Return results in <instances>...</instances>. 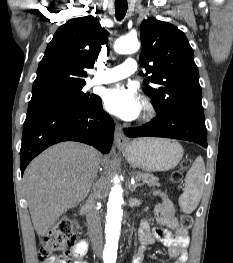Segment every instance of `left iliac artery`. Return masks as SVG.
I'll use <instances>...</instances> for the list:
<instances>
[{"instance_id":"obj_1","label":"left iliac artery","mask_w":233,"mask_h":263,"mask_svg":"<svg viewBox=\"0 0 233 263\" xmlns=\"http://www.w3.org/2000/svg\"><path fill=\"white\" fill-rule=\"evenodd\" d=\"M109 263H115V261H111V262H109Z\"/></svg>"}]
</instances>
